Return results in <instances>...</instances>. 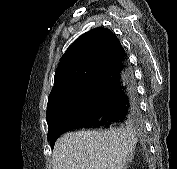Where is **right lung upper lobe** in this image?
<instances>
[{"instance_id":"right-lung-upper-lobe-1","label":"right lung upper lobe","mask_w":177,"mask_h":169,"mask_svg":"<svg viewBox=\"0 0 177 169\" xmlns=\"http://www.w3.org/2000/svg\"><path fill=\"white\" fill-rule=\"evenodd\" d=\"M122 52L125 51L119 39L108 29L99 27L81 35L67 49L56 70L48 106L90 81Z\"/></svg>"}]
</instances>
